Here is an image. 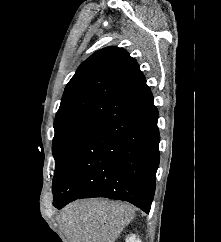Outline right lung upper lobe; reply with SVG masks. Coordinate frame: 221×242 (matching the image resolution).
Segmentation results:
<instances>
[{
	"label": "right lung upper lobe",
	"mask_w": 221,
	"mask_h": 242,
	"mask_svg": "<svg viewBox=\"0 0 221 242\" xmlns=\"http://www.w3.org/2000/svg\"><path fill=\"white\" fill-rule=\"evenodd\" d=\"M149 90L134 58L123 48H103L84 61L67 84L54 128L106 121Z\"/></svg>",
	"instance_id": "right-lung-upper-lobe-1"
}]
</instances>
